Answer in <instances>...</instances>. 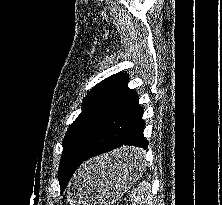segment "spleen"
<instances>
[{"mask_svg":"<svg viewBox=\"0 0 222 205\" xmlns=\"http://www.w3.org/2000/svg\"><path fill=\"white\" fill-rule=\"evenodd\" d=\"M150 192V183L145 180L140 182L137 188L132 190L133 205H153V197Z\"/></svg>","mask_w":222,"mask_h":205,"instance_id":"obj_1","label":"spleen"}]
</instances>
